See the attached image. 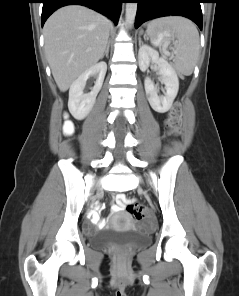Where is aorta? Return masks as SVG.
I'll return each mask as SVG.
<instances>
[{
    "mask_svg": "<svg viewBox=\"0 0 239 296\" xmlns=\"http://www.w3.org/2000/svg\"><path fill=\"white\" fill-rule=\"evenodd\" d=\"M137 12V3H126L125 21L128 27H132Z\"/></svg>",
    "mask_w": 239,
    "mask_h": 296,
    "instance_id": "762f6f07",
    "label": "aorta"
}]
</instances>
